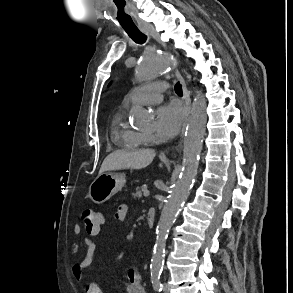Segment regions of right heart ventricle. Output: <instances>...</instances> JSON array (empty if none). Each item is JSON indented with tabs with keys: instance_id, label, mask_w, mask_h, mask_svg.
<instances>
[{
	"instance_id": "right-heart-ventricle-1",
	"label": "right heart ventricle",
	"mask_w": 293,
	"mask_h": 293,
	"mask_svg": "<svg viewBox=\"0 0 293 293\" xmlns=\"http://www.w3.org/2000/svg\"><path fill=\"white\" fill-rule=\"evenodd\" d=\"M112 138L121 147L135 149L147 146L146 135L128 127L122 113H118L112 123Z\"/></svg>"
}]
</instances>
